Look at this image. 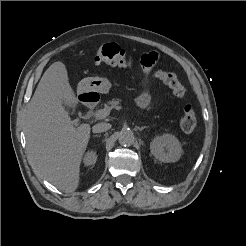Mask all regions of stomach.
Here are the masks:
<instances>
[{
	"instance_id": "0dacf381",
	"label": "stomach",
	"mask_w": 246,
	"mask_h": 246,
	"mask_svg": "<svg viewBox=\"0 0 246 246\" xmlns=\"http://www.w3.org/2000/svg\"><path fill=\"white\" fill-rule=\"evenodd\" d=\"M111 82L104 77H87L81 80L78 84V93L96 92L106 94L111 88Z\"/></svg>"
}]
</instances>
